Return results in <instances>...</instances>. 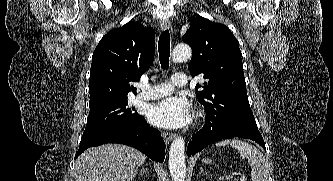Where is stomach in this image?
I'll return each mask as SVG.
<instances>
[{
	"label": "stomach",
	"instance_id": "obj_1",
	"mask_svg": "<svg viewBox=\"0 0 333 181\" xmlns=\"http://www.w3.org/2000/svg\"><path fill=\"white\" fill-rule=\"evenodd\" d=\"M204 162H205V163H209L210 160H209V159H205Z\"/></svg>",
	"mask_w": 333,
	"mask_h": 181
}]
</instances>
